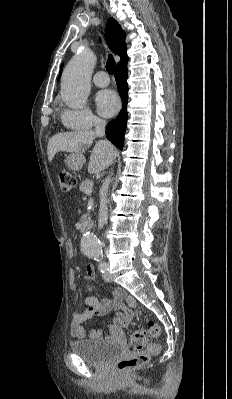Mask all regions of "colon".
<instances>
[{
	"instance_id": "colon-1",
	"label": "colon",
	"mask_w": 232,
	"mask_h": 399,
	"mask_svg": "<svg viewBox=\"0 0 232 399\" xmlns=\"http://www.w3.org/2000/svg\"><path fill=\"white\" fill-rule=\"evenodd\" d=\"M75 185L72 174L56 172V186L60 191H71ZM162 333V326L158 321H149L148 326H135L133 334H129V340L124 341L122 353H141V355H120L119 374H134V368L144 365L149 361L148 341H156ZM142 357V358H141Z\"/></svg>"
}]
</instances>
